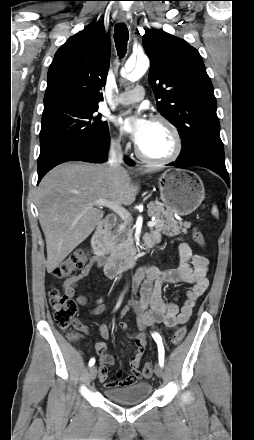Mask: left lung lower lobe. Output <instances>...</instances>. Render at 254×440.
Masks as SVG:
<instances>
[{
	"label": "left lung lower lobe",
	"instance_id": "1",
	"mask_svg": "<svg viewBox=\"0 0 254 440\" xmlns=\"http://www.w3.org/2000/svg\"><path fill=\"white\" fill-rule=\"evenodd\" d=\"M179 168L201 166L219 174L229 186V176L225 167V156L223 144L206 143L197 149L193 154L181 157L175 162L168 164Z\"/></svg>",
	"mask_w": 254,
	"mask_h": 440
}]
</instances>
